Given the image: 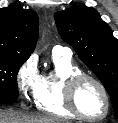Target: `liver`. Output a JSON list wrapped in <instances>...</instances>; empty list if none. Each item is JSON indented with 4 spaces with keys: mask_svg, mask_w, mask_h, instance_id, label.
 I'll list each match as a JSON object with an SVG mask.
<instances>
[{
    "mask_svg": "<svg viewBox=\"0 0 118 123\" xmlns=\"http://www.w3.org/2000/svg\"><path fill=\"white\" fill-rule=\"evenodd\" d=\"M0 123H66L65 121L40 114H25L15 111H0Z\"/></svg>",
    "mask_w": 118,
    "mask_h": 123,
    "instance_id": "1",
    "label": "liver"
}]
</instances>
